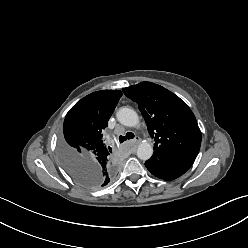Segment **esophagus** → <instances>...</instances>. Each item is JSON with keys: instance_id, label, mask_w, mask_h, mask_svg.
<instances>
[{"instance_id": "34e87169", "label": "esophagus", "mask_w": 248, "mask_h": 248, "mask_svg": "<svg viewBox=\"0 0 248 248\" xmlns=\"http://www.w3.org/2000/svg\"><path fill=\"white\" fill-rule=\"evenodd\" d=\"M140 137H136L134 140L131 141V149L135 150L137 145L140 143Z\"/></svg>"}]
</instances>
